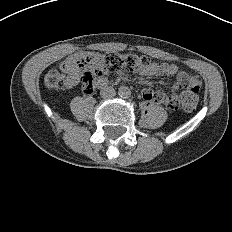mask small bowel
Instances as JSON below:
<instances>
[{
    "mask_svg": "<svg viewBox=\"0 0 232 232\" xmlns=\"http://www.w3.org/2000/svg\"><path fill=\"white\" fill-rule=\"evenodd\" d=\"M64 71L68 74L66 79V85L68 88H72L79 82L80 69L75 63L74 58L67 59L64 63ZM143 76H161V75H175L177 74V82L181 79H186L191 87H197L200 89L201 81L196 75H189L186 72L179 71V68L175 64L171 63H158L152 62L150 67L145 70L138 71ZM107 79L100 77L96 83L98 87H105ZM160 92H153L151 89H144L142 97L145 101H155V96Z\"/></svg>",
    "mask_w": 232,
    "mask_h": 232,
    "instance_id": "obj_1",
    "label": "small bowel"
}]
</instances>
